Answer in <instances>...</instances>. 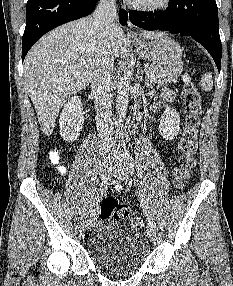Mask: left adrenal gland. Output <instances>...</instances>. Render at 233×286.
<instances>
[{
  "label": "left adrenal gland",
  "instance_id": "a2214340",
  "mask_svg": "<svg viewBox=\"0 0 233 286\" xmlns=\"http://www.w3.org/2000/svg\"><path fill=\"white\" fill-rule=\"evenodd\" d=\"M142 78H143V77L141 76V77H140V81H142Z\"/></svg>",
  "mask_w": 233,
  "mask_h": 286
}]
</instances>
